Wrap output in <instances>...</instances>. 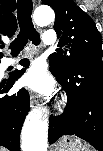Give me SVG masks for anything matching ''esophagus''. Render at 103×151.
Here are the masks:
<instances>
[{
  "label": "esophagus",
  "mask_w": 103,
  "mask_h": 151,
  "mask_svg": "<svg viewBox=\"0 0 103 151\" xmlns=\"http://www.w3.org/2000/svg\"><path fill=\"white\" fill-rule=\"evenodd\" d=\"M32 1L35 2V0H32ZM30 104H31V107H35L36 105H38V99L35 94H31Z\"/></svg>",
  "instance_id": "obj_1"
}]
</instances>
